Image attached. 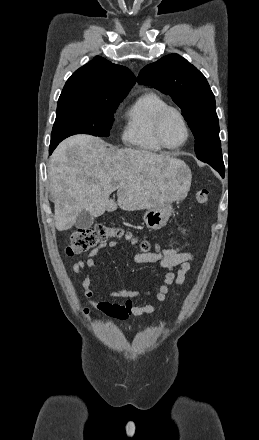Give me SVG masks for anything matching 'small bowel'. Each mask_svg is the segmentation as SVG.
I'll return each mask as SVG.
<instances>
[{
    "mask_svg": "<svg viewBox=\"0 0 259 440\" xmlns=\"http://www.w3.org/2000/svg\"><path fill=\"white\" fill-rule=\"evenodd\" d=\"M116 246V241L104 243L93 249L86 259H81L71 265L72 272L77 274L85 272V277L82 280L84 296L88 299L89 304L93 308L111 318L119 320H125L130 316L140 317L144 314L154 313L156 310L154 305L136 306L131 300L133 298L150 297L152 295V291L150 290L141 291L133 288H117L109 293L111 297L127 298L124 304H114L106 301L97 302L93 299L94 292L91 289L90 277L95 265V257L103 248H114ZM189 246L190 242H185L175 248L163 249L157 252H140L135 255V262L140 264H154L159 269L165 271L163 283L155 293V298L158 302L165 301L171 285H183L190 274L194 257L192 253L187 250ZM176 267H178L177 270H175ZM83 311L87 314L89 309L84 308Z\"/></svg>",
    "mask_w": 259,
    "mask_h": 440,
    "instance_id": "c3829d8e",
    "label": "small bowel"
}]
</instances>
